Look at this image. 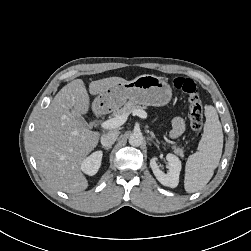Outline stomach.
Segmentation results:
<instances>
[{"instance_id": "1", "label": "stomach", "mask_w": 251, "mask_h": 251, "mask_svg": "<svg viewBox=\"0 0 251 251\" xmlns=\"http://www.w3.org/2000/svg\"><path fill=\"white\" fill-rule=\"evenodd\" d=\"M171 98L172 89L165 79L144 74L105 89L93 105L99 111L117 109L127 100L144 106H164Z\"/></svg>"}]
</instances>
